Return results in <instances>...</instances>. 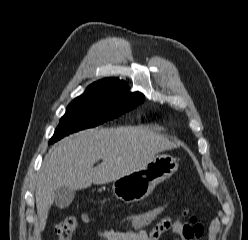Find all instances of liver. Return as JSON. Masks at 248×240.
Wrapping results in <instances>:
<instances>
[{
	"label": "liver",
	"mask_w": 248,
	"mask_h": 240,
	"mask_svg": "<svg viewBox=\"0 0 248 240\" xmlns=\"http://www.w3.org/2000/svg\"><path fill=\"white\" fill-rule=\"evenodd\" d=\"M177 145L145 129L134 127L94 128L64 138L44 158L36 184V208L44 230L55 191L115 181L151 161L161 151ZM102 159V163L94 164Z\"/></svg>",
	"instance_id": "liver-1"
}]
</instances>
